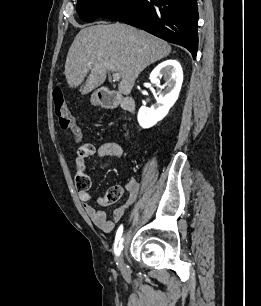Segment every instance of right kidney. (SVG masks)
<instances>
[{
	"mask_svg": "<svg viewBox=\"0 0 261 306\" xmlns=\"http://www.w3.org/2000/svg\"><path fill=\"white\" fill-rule=\"evenodd\" d=\"M162 77L168 86L166 92L159 94L155 106H142L138 111L137 119L142 128H150L162 120L178 99L183 82L180 63L172 59L160 63L150 74V81L156 87H160Z\"/></svg>",
	"mask_w": 261,
	"mask_h": 306,
	"instance_id": "ca27d5eb",
	"label": "right kidney"
}]
</instances>
